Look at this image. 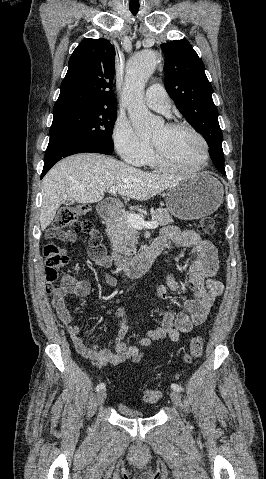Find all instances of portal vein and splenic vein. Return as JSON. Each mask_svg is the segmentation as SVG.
<instances>
[{"label": "portal vein and splenic vein", "instance_id": "obj_1", "mask_svg": "<svg viewBox=\"0 0 266 479\" xmlns=\"http://www.w3.org/2000/svg\"><path fill=\"white\" fill-rule=\"evenodd\" d=\"M118 191L117 186H112L109 189V192L111 194H116ZM127 221L128 223L133 226L136 229H142V228H147V229H155L159 226V223L156 221L152 222H145L142 217L136 214H130L127 216Z\"/></svg>", "mask_w": 266, "mask_h": 479}]
</instances>
